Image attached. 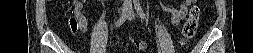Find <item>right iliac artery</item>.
Here are the masks:
<instances>
[{"label": "right iliac artery", "instance_id": "obj_1", "mask_svg": "<svg viewBox=\"0 0 253 53\" xmlns=\"http://www.w3.org/2000/svg\"><path fill=\"white\" fill-rule=\"evenodd\" d=\"M132 9V5L130 4L129 7L127 8V12L122 15V17L119 18V20L115 23V28L120 27L127 19V14L130 12Z\"/></svg>", "mask_w": 253, "mask_h": 53}]
</instances>
